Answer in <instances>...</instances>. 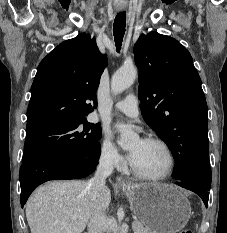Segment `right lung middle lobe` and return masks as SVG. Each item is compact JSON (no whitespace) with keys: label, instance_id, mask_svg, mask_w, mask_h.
<instances>
[{"label":"right lung middle lobe","instance_id":"right-lung-middle-lobe-1","mask_svg":"<svg viewBox=\"0 0 227 233\" xmlns=\"http://www.w3.org/2000/svg\"><path fill=\"white\" fill-rule=\"evenodd\" d=\"M101 135L100 125H94L86 118L28 134L25 139L23 162L53 152H69L86 156L100 147L97 140Z\"/></svg>","mask_w":227,"mask_h":233}]
</instances>
